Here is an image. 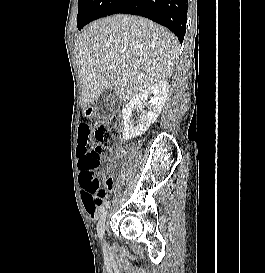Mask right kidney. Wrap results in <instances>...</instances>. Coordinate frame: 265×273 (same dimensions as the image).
<instances>
[{
  "label": "right kidney",
  "instance_id": "ca27d5eb",
  "mask_svg": "<svg viewBox=\"0 0 265 273\" xmlns=\"http://www.w3.org/2000/svg\"><path fill=\"white\" fill-rule=\"evenodd\" d=\"M169 88V83L166 80L158 81L147 89L137 93L129 103H127L122 111L123 138L125 140L141 136L155 122L167 100ZM151 94H153V97L148 104V112H142L139 124L136 127H133L130 122L132 111L143 104H146V101Z\"/></svg>",
  "mask_w": 265,
  "mask_h": 273
}]
</instances>
